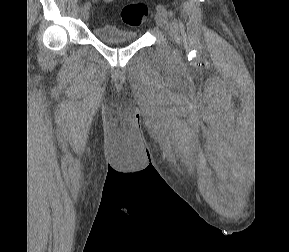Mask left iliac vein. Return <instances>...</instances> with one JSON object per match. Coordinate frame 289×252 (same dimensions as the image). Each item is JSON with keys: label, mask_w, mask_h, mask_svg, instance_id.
<instances>
[{"label": "left iliac vein", "mask_w": 289, "mask_h": 252, "mask_svg": "<svg viewBox=\"0 0 289 252\" xmlns=\"http://www.w3.org/2000/svg\"><path fill=\"white\" fill-rule=\"evenodd\" d=\"M155 22L160 28L166 29L168 24L166 14L157 11V13L155 14Z\"/></svg>", "instance_id": "obj_1"}]
</instances>
